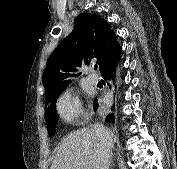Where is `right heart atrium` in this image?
<instances>
[{"label": "right heart atrium", "mask_w": 177, "mask_h": 169, "mask_svg": "<svg viewBox=\"0 0 177 169\" xmlns=\"http://www.w3.org/2000/svg\"><path fill=\"white\" fill-rule=\"evenodd\" d=\"M57 112L66 122L82 121L85 119L79 98L71 91H65L57 100Z\"/></svg>", "instance_id": "1"}]
</instances>
